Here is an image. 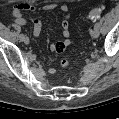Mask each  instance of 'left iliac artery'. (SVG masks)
<instances>
[{
  "mask_svg": "<svg viewBox=\"0 0 119 119\" xmlns=\"http://www.w3.org/2000/svg\"><path fill=\"white\" fill-rule=\"evenodd\" d=\"M100 27V24L97 22L94 26V28H99Z\"/></svg>",
  "mask_w": 119,
  "mask_h": 119,
  "instance_id": "left-iliac-artery-1",
  "label": "left iliac artery"
}]
</instances>
